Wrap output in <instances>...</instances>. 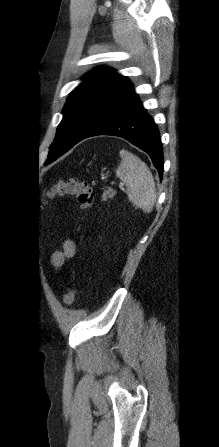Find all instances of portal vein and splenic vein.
I'll use <instances>...</instances> for the list:
<instances>
[{"label":"portal vein and splenic vein","instance_id":"portal-vein-and-splenic-vein-1","mask_svg":"<svg viewBox=\"0 0 219 447\" xmlns=\"http://www.w3.org/2000/svg\"><path fill=\"white\" fill-rule=\"evenodd\" d=\"M123 184L122 183H120L119 185H118V187L120 188V189H123Z\"/></svg>","mask_w":219,"mask_h":447}]
</instances>
